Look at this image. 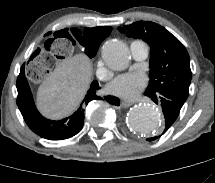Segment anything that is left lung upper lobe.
<instances>
[{"label":"left lung upper lobe","mask_w":215,"mask_h":183,"mask_svg":"<svg viewBox=\"0 0 215 183\" xmlns=\"http://www.w3.org/2000/svg\"><path fill=\"white\" fill-rule=\"evenodd\" d=\"M118 30L128 37L143 39L150 45V81L145 93L171 90L187 99L191 69L183 44L164 27L150 21H138Z\"/></svg>","instance_id":"1"}]
</instances>
